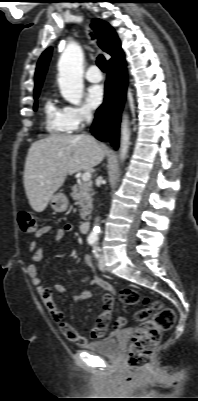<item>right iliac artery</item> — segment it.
<instances>
[{
    "mask_svg": "<svg viewBox=\"0 0 198 401\" xmlns=\"http://www.w3.org/2000/svg\"><path fill=\"white\" fill-rule=\"evenodd\" d=\"M96 242V239H88V243L90 244V245H93L94 243Z\"/></svg>",
    "mask_w": 198,
    "mask_h": 401,
    "instance_id": "82829eb1",
    "label": "right iliac artery"
}]
</instances>
